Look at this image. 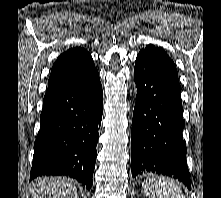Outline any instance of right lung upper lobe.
I'll return each instance as SVG.
<instances>
[{
  "mask_svg": "<svg viewBox=\"0 0 221 198\" xmlns=\"http://www.w3.org/2000/svg\"><path fill=\"white\" fill-rule=\"evenodd\" d=\"M95 70L93 59L87 50L81 47L67 50L52 67L44 99L76 85Z\"/></svg>",
  "mask_w": 221,
  "mask_h": 198,
  "instance_id": "cb5924a9",
  "label": "right lung upper lobe"
}]
</instances>
